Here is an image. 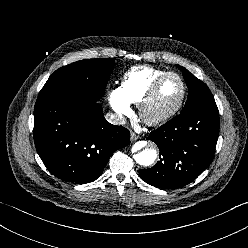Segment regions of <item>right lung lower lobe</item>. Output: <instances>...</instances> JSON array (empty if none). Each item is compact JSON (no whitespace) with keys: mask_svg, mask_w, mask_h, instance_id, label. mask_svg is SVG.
<instances>
[{"mask_svg":"<svg viewBox=\"0 0 248 248\" xmlns=\"http://www.w3.org/2000/svg\"><path fill=\"white\" fill-rule=\"evenodd\" d=\"M34 142L54 176L84 184L96 180L113 152L130 143V133L107 122L97 102L54 96L36 101Z\"/></svg>","mask_w":248,"mask_h":248,"instance_id":"1","label":"right lung lower lobe"}]
</instances>
